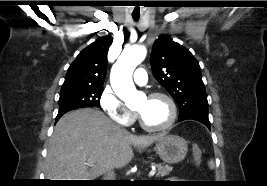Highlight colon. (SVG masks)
Instances as JSON below:
<instances>
[{"mask_svg": "<svg viewBox=\"0 0 267 186\" xmlns=\"http://www.w3.org/2000/svg\"><path fill=\"white\" fill-rule=\"evenodd\" d=\"M193 155H194V160L196 163H199L202 157V151L198 146H194L193 148Z\"/></svg>", "mask_w": 267, "mask_h": 186, "instance_id": "obj_1", "label": "colon"}]
</instances>
